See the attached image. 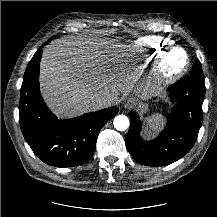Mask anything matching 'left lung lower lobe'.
Instances as JSON below:
<instances>
[{
	"mask_svg": "<svg viewBox=\"0 0 217 217\" xmlns=\"http://www.w3.org/2000/svg\"><path fill=\"white\" fill-rule=\"evenodd\" d=\"M168 91L174 106L165 129L156 139L142 140L141 122L136 113H130L126 147L142 165L164 166L182 158L194 145L202 125L205 86L187 76L171 85Z\"/></svg>",
	"mask_w": 217,
	"mask_h": 217,
	"instance_id": "1",
	"label": "left lung lower lobe"
}]
</instances>
